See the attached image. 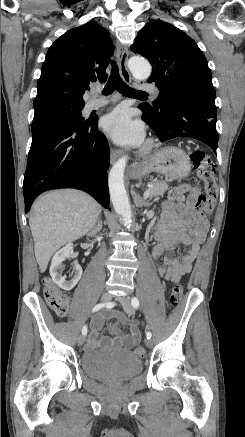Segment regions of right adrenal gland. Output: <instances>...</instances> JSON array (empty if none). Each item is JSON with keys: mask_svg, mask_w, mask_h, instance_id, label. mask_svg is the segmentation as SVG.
Wrapping results in <instances>:
<instances>
[{"mask_svg": "<svg viewBox=\"0 0 245 437\" xmlns=\"http://www.w3.org/2000/svg\"><path fill=\"white\" fill-rule=\"evenodd\" d=\"M102 229V220H101V216L98 219L97 225L90 231V234H97L98 232H100Z\"/></svg>", "mask_w": 245, "mask_h": 437, "instance_id": "2a0ac1e0", "label": "right adrenal gland"}]
</instances>
